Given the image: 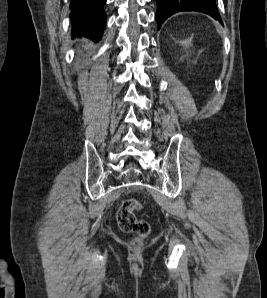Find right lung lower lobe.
I'll return each instance as SVG.
<instances>
[{
    "instance_id": "right-lung-lower-lobe-1",
    "label": "right lung lower lobe",
    "mask_w": 267,
    "mask_h": 298,
    "mask_svg": "<svg viewBox=\"0 0 267 298\" xmlns=\"http://www.w3.org/2000/svg\"><path fill=\"white\" fill-rule=\"evenodd\" d=\"M105 2L106 0H71L72 33L99 41L105 26Z\"/></svg>"
}]
</instances>
